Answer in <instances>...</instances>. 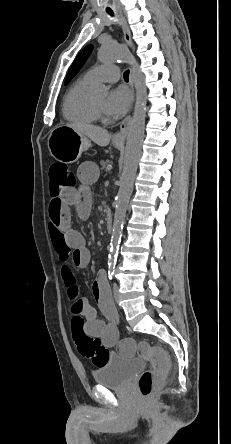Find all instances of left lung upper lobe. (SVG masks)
<instances>
[{"label": "left lung upper lobe", "mask_w": 231, "mask_h": 444, "mask_svg": "<svg viewBox=\"0 0 231 444\" xmlns=\"http://www.w3.org/2000/svg\"><path fill=\"white\" fill-rule=\"evenodd\" d=\"M92 50V45L85 47L76 57L67 77L65 80V85H67L70 80L76 75V73L81 69L87 57L89 56Z\"/></svg>", "instance_id": "obj_1"}]
</instances>
